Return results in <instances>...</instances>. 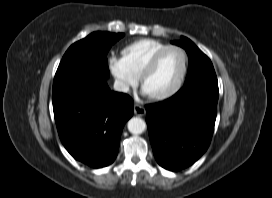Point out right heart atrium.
Returning <instances> with one entry per match:
<instances>
[{
  "label": "right heart atrium",
  "instance_id": "1",
  "mask_svg": "<svg viewBox=\"0 0 272 198\" xmlns=\"http://www.w3.org/2000/svg\"><path fill=\"white\" fill-rule=\"evenodd\" d=\"M108 69L119 90L123 93H129L138 82V77L129 69L121 57L110 56L108 58Z\"/></svg>",
  "mask_w": 272,
  "mask_h": 198
}]
</instances>
